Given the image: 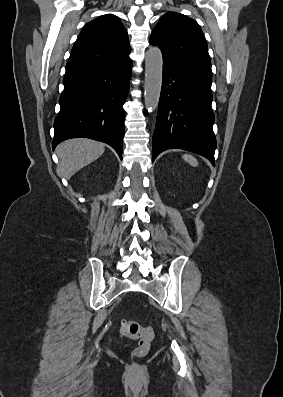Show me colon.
Masks as SVG:
<instances>
[{
    "mask_svg": "<svg viewBox=\"0 0 283 397\" xmlns=\"http://www.w3.org/2000/svg\"><path fill=\"white\" fill-rule=\"evenodd\" d=\"M120 332L123 336L138 339L139 345L135 348L136 356H144L148 353L154 332L151 327L143 326L132 320H123L120 325Z\"/></svg>",
    "mask_w": 283,
    "mask_h": 397,
    "instance_id": "obj_1",
    "label": "colon"
}]
</instances>
